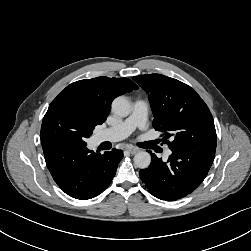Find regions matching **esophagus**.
Masks as SVG:
<instances>
[{
	"instance_id": "esophagus-1",
	"label": "esophagus",
	"mask_w": 251,
	"mask_h": 251,
	"mask_svg": "<svg viewBox=\"0 0 251 251\" xmlns=\"http://www.w3.org/2000/svg\"><path fill=\"white\" fill-rule=\"evenodd\" d=\"M126 150L130 153V154H136L139 149L136 147H127Z\"/></svg>"
}]
</instances>
